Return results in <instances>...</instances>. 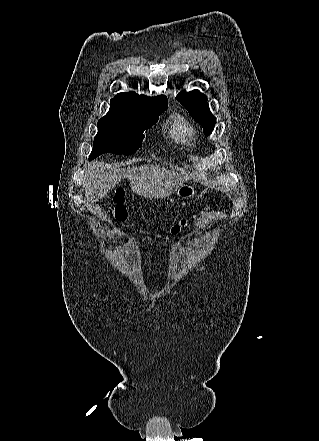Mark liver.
I'll use <instances>...</instances> for the list:
<instances>
[{"instance_id": "liver-1", "label": "liver", "mask_w": 319, "mask_h": 441, "mask_svg": "<svg viewBox=\"0 0 319 441\" xmlns=\"http://www.w3.org/2000/svg\"><path fill=\"white\" fill-rule=\"evenodd\" d=\"M126 178H129L130 188L135 194L145 198L161 199L176 192L190 179V174L171 171L159 165H142L127 169L110 168L96 161L85 172V196L90 202H98L109 190Z\"/></svg>"}]
</instances>
